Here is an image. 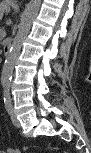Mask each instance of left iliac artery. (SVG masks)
<instances>
[{"instance_id":"1","label":"left iliac artery","mask_w":91,"mask_h":153,"mask_svg":"<svg viewBox=\"0 0 91 153\" xmlns=\"http://www.w3.org/2000/svg\"><path fill=\"white\" fill-rule=\"evenodd\" d=\"M4 104H5V108L7 110L8 113H11L12 111V104H11V98H10V93H9V89H5V93H4Z\"/></svg>"}]
</instances>
